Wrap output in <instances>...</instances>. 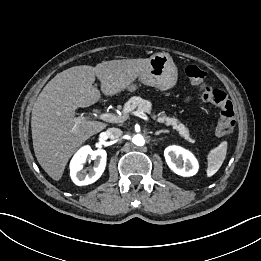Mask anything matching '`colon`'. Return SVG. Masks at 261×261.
Returning <instances> with one entry per match:
<instances>
[{
  "label": "colon",
  "mask_w": 261,
  "mask_h": 261,
  "mask_svg": "<svg viewBox=\"0 0 261 261\" xmlns=\"http://www.w3.org/2000/svg\"><path fill=\"white\" fill-rule=\"evenodd\" d=\"M185 73L191 85L198 90L201 98L219 108L220 120L217 126L218 135L229 136L235 126V111L227 94L223 90L206 84V73L198 66H187Z\"/></svg>",
  "instance_id": "5ec220e1"
}]
</instances>
